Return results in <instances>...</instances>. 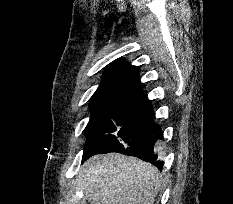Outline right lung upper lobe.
<instances>
[{
    "instance_id": "1",
    "label": "right lung upper lobe",
    "mask_w": 233,
    "mask_h": 204,
    "mask_svg": "<svg viewBox=\"0 0 233 204\" xmlns=\"http://www.w3.org/2000/svg\"><path fill=\"white\" fill-rule=\"evenodd\" d=\"M145 93L140 87L139 71L118 59L106 67L103 81L90 99V110L95 114L117 104L146 102Z\"/></svg>"
}]
</instances>
